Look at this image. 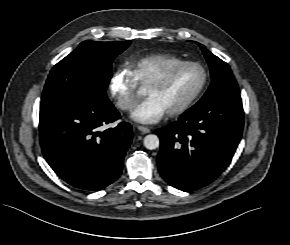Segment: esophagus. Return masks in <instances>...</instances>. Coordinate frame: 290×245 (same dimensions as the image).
Wrapping results in <instances>:
<instances>
[{"label": "esophagus", "instance_id": "34e87169", "mask_svg": "<svg viewBox=\"0 0 290 245\" xmlns=\"http://www.w3.org/2000/svg\"><path fill=\"white\" fill-rule=\"evenodd\" d=\"M139 131H141L144 134H147L150 132V129L148 127L145 126H138Z\"/></svg>", "mask_w": 290, "mask_h": 245}]
</instances>
